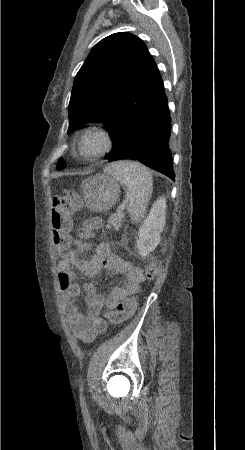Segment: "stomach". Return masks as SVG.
<instances>
[{"instance_id":"0dacf381","label":"stomach","mask_w":245,"mask_h":450,"mask_svg":"<svg viewBox=\"0 0 245 450\" xmlns=\"http://www.w3.org/2000/svg\"><path fill=\"white\" fill-rule=\"evenodd\" d=\"M82 194L87 207L94 212L111 209L120 194L118 181L111 174H96L82 181Z\"/></svg>"}]
</instances>
